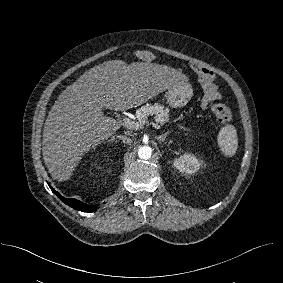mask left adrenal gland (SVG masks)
Instances as JSON below:
<instances>
[{
  "label": "left adrenal gland",
  "instance_id": "a2214340",
  "mask_svg": "<svg viewBox=\"0 0 283 283\" xmlns=\"http://www.w3.org/2000/svg\"><path fill=\"white\" fill-rule=\"evenodd\" d=\"M169 133H170V131H168V132H166V133H164V134H162V135H160V136H157L156 138H157V140L163 142V141H165V139H166V137H167V135H168Z\"/></svg>",
  "mask_w": 283,
  "mask_h": 283
}]
</instances>
